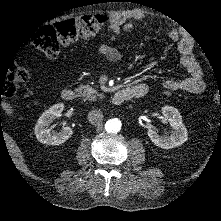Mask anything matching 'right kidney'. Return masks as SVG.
Masks as SVG:
<instances>
[{
  "mask_svg": "<svg viewBox=\"0 0 221 221\" xmlns=\"http://www.w3.org/2000/svg\"><path fill=\"white\" fill-rule=\"evenodd\" d=\"M65 108L64 102H58L51 105L37 119L34 126V134L37 140L48 145H59L64 143L73 134L69 126H63L58 132L51 129L52 121L61 115Z\"/></svg>",
  "mask_w": 221,
  "mask_h": 221,
  "instance_id": "obj_1",
  "label": "right kidney"
}]
</instances>
